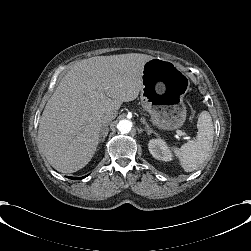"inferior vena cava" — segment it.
<instances>
[{
	"mask_svg": "<svg viewBox=\"0 0 251 251\" xmlns=\"http://www.w3.org/2000/svg\"><path fill=\"white\" fill-rule=\"evenodd\" d=\"M115 118V116L112 114V115H110V116H107V117H105L104 119H102V123L103 124H105V123H108V122H110L112 119H114Z\"/></svg>",
	"mask_w": 251,
	"mask_h": 251,
	"instance_id": "602c4592",
	"label": "inferior vena cava"
}]
</instances>
